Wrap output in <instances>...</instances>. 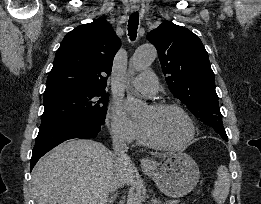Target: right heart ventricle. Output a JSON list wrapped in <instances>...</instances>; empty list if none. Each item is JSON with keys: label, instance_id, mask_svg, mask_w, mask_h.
Listing matches in <instances>:
<instances>
[{"label": "right heart ventricle", "instance_id": "obj_1", "mask_svg": "<svg viewBox=\"0 0 261 204\" xmlns=\"http://www.w3.org/2000/svg\"><path fill=\"white\" fill-rule=\"evenodd\" d=\"M138 142L142 145H150L144 135V132L142 130V128L140 127V134H139V137H138Z\"/></svg>", "mask_w": 261, "mask_h": 204}]
</instances>
